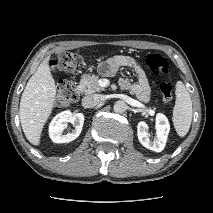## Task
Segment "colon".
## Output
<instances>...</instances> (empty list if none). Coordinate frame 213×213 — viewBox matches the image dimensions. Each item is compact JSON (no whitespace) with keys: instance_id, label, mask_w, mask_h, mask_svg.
Instances as JSON below:
<instances>
[{"instance_id":"colon-1","label":"colon","mask_w":213,"mask_h":213,"mask_svg":"<svg viewBox=\"0 0 213 213\" xmlns=\"http://www.w3.org/2000/svg\"><path fill=\"white\" fill-rule=\"evenodd\" d=\"M83 64L82 57L73 52H62L52 62L55 71L74 73L79 70ZM149 71L154 75H166L168 73V62L159 54H150L146 59ZM160 92L164 100L169 101L173 96L172 84L163 81L160 84ZM78 89L70 82L61 81L57 85L56 104L58 107H67L76 102L79 98Z\"/></svg>"}]
</instances>
